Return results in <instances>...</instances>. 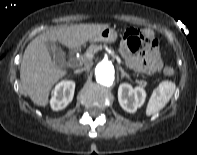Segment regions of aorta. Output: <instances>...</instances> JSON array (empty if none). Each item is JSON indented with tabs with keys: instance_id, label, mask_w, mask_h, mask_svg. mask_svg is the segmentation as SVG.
Listing matches in <instances>:
<instances>
[{
	"instance_id": "obj_1",
	"label": "aorta",
	"mask_w": 197,
	"mask_h": 155,
	"mask_svg": "<svg viewBox=\"0 0 197 155\" xmlns=\"http://www.w3.org/2000/svg\"><path fill=\"white\" fill-rule=\"evenodd\" d=\"M95 77L104 86L112 85L115 78V68L110 61L103 60L95 67Z\"/></svg>"
}]
</instances>
